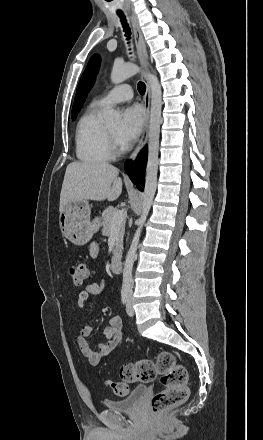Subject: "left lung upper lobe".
Segmentation results:
<instances>
[{
	"label": "left lung upper lobe",
	"mask_w": 263,
	"mask_h": 440,
	"mask_svg": "<svg viewBox=\"0 0 263 440\" xmlns=\"http://www.w3.org/2000/svg\"><path fill=\"white\" fill-rule=\"evenodd\" d=\"M99 65H100V57L99 55L95 54L90 58L88 66L79 82L77 93L74 100L73 110H72L73 120L80 111L88 91L91 89L92 85L94 84L95 76L98 72Z\"/></svg>",
	"instance_id": "obj_1"
}]
</instances>
